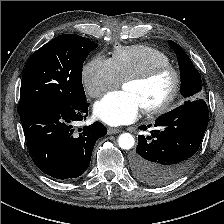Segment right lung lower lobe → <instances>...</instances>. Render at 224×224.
I'll list each match as a JSON object with an SVG mask.
<instances>
[{
    "mask_svg": "<svg viewBox=\"0 0 224 224\" xmlns=\"http://www.w3.org/2000/svg\"><path fill=\"white\" fill-rule=\"evenodd\" d=\"M89 104H44L20 115L30 157L45 174L60 180L82 175L88 168L96 140L107 134L101 123L84 126L79 135L73 125L86 119Z\"/></svg>",
    "mask_w": 224,
    "mask_h": 224,
    "instance_id": "right-lung-lower-lobe-1",
    "label": "right lung lower lobe"
}]
</instances>
